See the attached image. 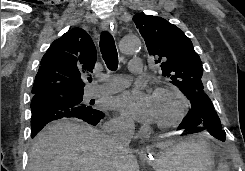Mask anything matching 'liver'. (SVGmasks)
Instances as JSON below:
<instances>
[{"instance_id": "obj_1", "label": "liver", "mask_w": 245, "mask_h": 171, "mask_svg": "<svg viewBox=\"0 0 245 171\" xmlns=\"http://www.w3.org/2000/svg\"><path fill=\"white\" fill-rule=\"evenodd\" d=\"M170 141L156 144L168 147ZM139 171L132 151H119L99 130L68 120L48 124L35 138L27 171Z\"/></svg>"}]
</instances>
